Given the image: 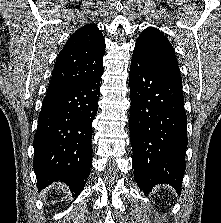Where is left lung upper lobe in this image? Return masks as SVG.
<instances>
[{
  "instance_id": "left-lung-upper-lobe-1",
  "label": "left lung upper lobe",
  "mask_w": 221,
  "mask_h": 223,
  "mask_svg": "<svg viewBox=\"0 0 221 223\" xmlns=\"http://www.w3.org/2000/svg\"><path fill=\"white\" fill-rule=\"evenodd\" d=\"M134 53L162 66L178 68L172 45L166 36L154 27L146 28L138 37Z\"/></svg>"
}]
</instances>
